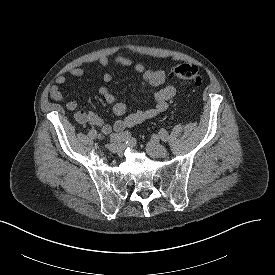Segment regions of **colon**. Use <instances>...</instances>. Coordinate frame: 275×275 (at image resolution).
<instances>
[{"label":"colon","mask_w":275,"mask_h":275,"mask_svg":"<svg viewBox=\"0 0 275 275\" xmlns=\"http://www.w3.org/2000/svg\"><path fill=\"white\" fill-rule=\"evenodd\" d=\"M167 74L171 77L191 82L196 86H201L203 82L198 67L193 64H179L172 66L167 69Z\"/></svg>","instance_id":"5ec220e1"}]
</instances>
